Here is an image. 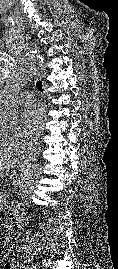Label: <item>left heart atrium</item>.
Segmentation results:
<instances>
[{
  "label": "left heart atrium",
  "instance_id": "obj_1",
  "mask_svg": "<svg viewBox=\"0 0 118 269\" xmlns=\"http://www.w3.org/2000/svg\"><path fill=\"white\" fill-rule=\"evenodd\" d=\"M22 120L24 127L32 138H36L43 130L46 111L43 104L33 102L25 109Z\"/></svg>",
  "mask_w": 118,
  "mask_h": 269
}]
</instances>
